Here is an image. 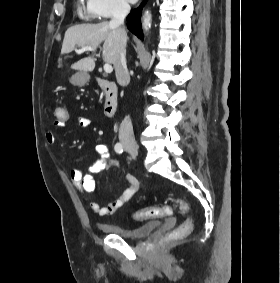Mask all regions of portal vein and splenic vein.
Listing matches in <instances>:
<instances>
[{"label":"portal vein and splenic vein","mask_w":280,"mask_h":283,"mask_svg":"<svg viewBox=\"0 0 280 283\" xmlns=\"http://www.w3.org/2000/svg\"><path fill=\"white\" fill-rule=\"evenodd\" d=\"M83 51H94V48L91 46H85L78 50V52H83ZM103 68L106 73H111L113 71V68L109 63L104 64Z\"/></svg>","instance_id":"obj_1"}]
</instances>
